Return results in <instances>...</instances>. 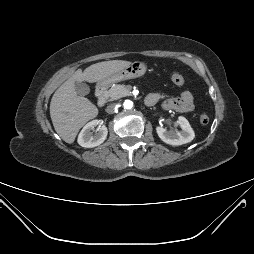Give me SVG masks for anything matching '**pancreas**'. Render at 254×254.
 Returning a JSON list of instances; mask_svg holds the SVG:
<instances>
[{"label":"pancreas","mask_w":254,"mask_h":254,"mask_svg":"<svg viewBox=\"0 0 254 254\" xmlns=\"http://www.w3.org/2000/svg\"><path fill=\"white\" fill-rule=\"evenodd\" d=\"M131 87L121 84H116L112 86L109 90H107L104 94L106 99L109 101L117 100L121 97L130 96Z\"/></svg>","instance_id":"1"}]
</instances>
